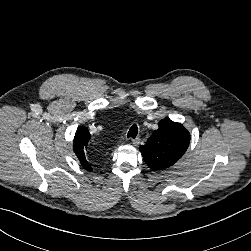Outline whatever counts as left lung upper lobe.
Segmentation results:
<instances>
[{"mask_svg":"<svg viewBox=\"0 0 251 251\" xmlns=\"http://www.w3.org/2000/svg\"><path fill=\"white\" fill-rule=\"evenodd\" d=\"M190 143V134L182 124L162 119L158 130L140 147L146 164L153 170H162L174 165L185 153Z\"/></svg>","mask_w":251,"mask_h":251,"instance_id":"1","label":"left lung upper lobe"}]
</instances>
